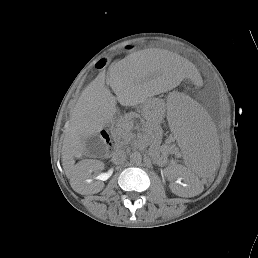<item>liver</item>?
I'll use <instances>...</instances> for the list:
<instances>
[{
	"mask_svg": "<svg viewBox=\"0 0 258 258\" xmlns=\"http://www.w3.org/2000/svg\"><path fill=\"white\" fill-rule=\"evenodd\" d=\"M158 75L155 67L141 61L135 53L111 68L109 84L117 98L105 87L104 74H99L84 89L71 113L62 146V166L75 192L88 194L90 191L85 182L90 176L85 166L89 161L74 165V157L81 158L86 154V139L102 130L106 120L115 112L116 100L122 105L128 103L130 90L138 76Z\"/></svg>",
	"mask_w": 258,
	"mask_h": 258,
	"instance_id": "6515ba94",
	"label": "liver"
}]
</instances>
